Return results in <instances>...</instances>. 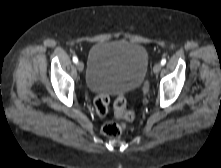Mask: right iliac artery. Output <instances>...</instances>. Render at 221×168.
I'll return each mask as SVG.
<instances>
[{
    "label": "right iliac artery",
    "mask_w": 221,
    "mask_h": 168,
    "mask_svg": "<svg viewBox=\"0 0 221 168\" xmlns=\"http://www.w3.org/2000/svg\"><path fill=\"white\" fill-rule=\"evenodd\" d=\"M73 62L77 63L78 62V58L76 56L73 57Z\"/></svg>",
    "instance_id": "1"
}]
</instances>
